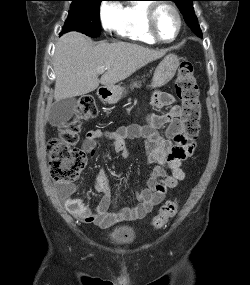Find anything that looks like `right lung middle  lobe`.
I'll use <instances>...</instances> for the list:
<instances>
[{"mask_svg":"<svg viewBox=\"0 0 250 285\" xmlns=\"http://www.w3.org/2000/svg\"><path fill=\"white\" fill-rule=\"evenodd\" d=\"M69 16L61 33L76 30L90 37L100 36V4L103 0H70Z\"/></svg>","mask_w":250,"mask_h":285,"instance_id":"dd1d6c3e","label":"right lung middle lobe"}]
</instances>
